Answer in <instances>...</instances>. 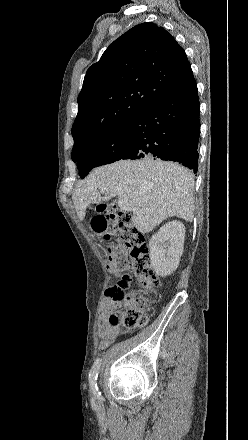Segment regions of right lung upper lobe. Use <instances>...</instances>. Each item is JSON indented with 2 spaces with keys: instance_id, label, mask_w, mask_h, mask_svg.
<instances>
[{
  "instance_id": "1",
  "label": "right lung upper lobe",
  "mask_w": 248,
  "mask_h": 440,
  "mask_svg": "<svg viewBox=\"0 0 248 440\" xmlns=\"http://www.w3.org/2000/svg\"><path fill=\"white\" fill-rule=\"evenodd\" d=\"M196 85L185 51L163 27L139 24L93 64L78 96L74 147L128 123L151 103Z\"/></svg>"
}]
</instances>
